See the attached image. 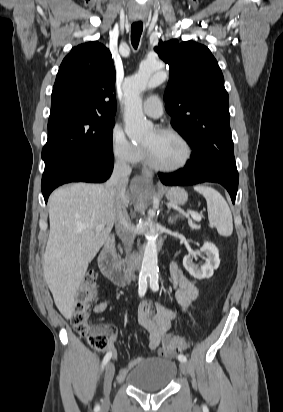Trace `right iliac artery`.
I'll use <instances>...</instances> for the list:
<instances>
[{
	"label": "right iliac artery",
	"mask_w": 283,
	"mask_h": 412,
	"mask_svg": "<svg viewBox=\"0 0 283 412\" xmlns=\"http://www.w3.org/2000/svg\"><path fill=\"white\" fill-rule=\"evenodd\" d=\"M147 275H144L141 277V279L139 280V289H138V293L139 296L142 297L144 296V294L146 293L147 290ZM112 354L110 352H108L103 359V363H102V368H104V366L108 363V361L111 359ZM96 410H99V405L96 406Z\"/></svg>",
	"instance_id": "1"
}]
</instances>
